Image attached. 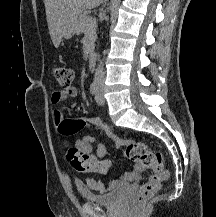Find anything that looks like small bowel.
Instances as JSON below:
<instances>
[{"instance_id": "obj_1", "label": "small bowel", "mask_w": 216, "mask_h": 217, "mask_svg": "<svg viewBox=\"0 0 216 217\" xmlns=\"http://www.w3.org/2000/svg\"><path fill=\"white\" fill-rule=\"evenodd\" d=\"M77 95V89L75 87L65 88L63 90H57L52 93L51 96V102L54 105H59L62 102H65L71 98H74ZM75 105L73 104L72 107ZM53 121L57 129L60 130L62 124L66 122L65 116L62 113V111L58 108H56L53 111ZM76 147L81 149L82 151L88 153L94 161H104L107 164V167L104 171L96 172L105 174L109 167H110V161L105 160L104 157L106 155V147L103 143H101L96 137L91 135L83 136L79 141L76 142ZM95 146L96 153L92 154V148ZM142 169L135 165L129 172H127L121 179H114L108 182L107 184H104L100 180L96 178H88L86 180L85 185L95 191L103 192L107 189L115 187L119 182L125 181V180H131L136 177V175L141 171ZM79 187H84L83 183H79Z\"/></svg>"}]
</instances>
